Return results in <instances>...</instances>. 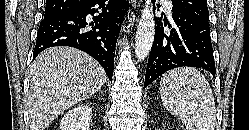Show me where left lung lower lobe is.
I'll use <instances>...</instances> for the list:
<instances>
[{
	"mask_svg": "<svg viewBox=\"0 0 249 130\" xmlns=\"http://www.w3.org/2000/svg\"><path fill=\"white\" fill-rule=\"evenodd\" d=\"M157 22L153 46L149 55L144 88L160 75L176 67L203 68L215 74L209 22L198 16L172 8V22Z\"/></svg>",
	"mask_w": 249,
	"mask_h": 130,
	"instance_id": "0a47b994",
	"label": "left lung lower lobe"
}]
</instances>
